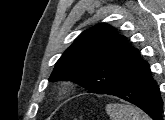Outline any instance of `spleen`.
I'll use <instances>...</instances> for the list:
<instances>
[{
    "label": "spleen",
    "instance_id": "obj_1",
    "mask_svg": "<svg viewBox=\"0 0 165 120\" xmlns=\"http://www.w3.org/2000/svg\"><path fill=\"white\" fill-rule=\"evenodd\" d=\"M110 120H151L143 111L132 105L110 103L106 105Z\"/></svg>",
    "mask_w": 165,
    "mask_h": 120
}]
</instances>
